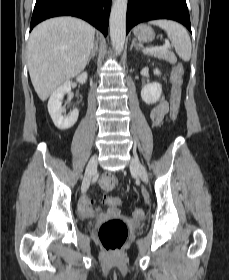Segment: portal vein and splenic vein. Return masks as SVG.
<instances>
[{"instance_id": "18ae733b", "label": "portal vein and splenic vein", "mask_w": 229, "mask_h": 280, "mask_svg": "<svg viewBox=\"0 0 229 280\" xmlns=\"http://www.w3.org/2000/svg\"><path fill=\"white\" fill-rule=\"evenodd\" d=\"M170 47H171L170 43L168 41H165V44L163 46L150 47V48L145 49L144 52L145 53H151V52H154V51H162V50H167Z\"/></svg>"}]
</instances>
